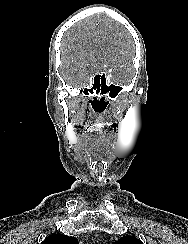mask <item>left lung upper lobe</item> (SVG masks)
Wrapping results in <instances>:
<instances>
[{"mask_svg":"<svg viewBox=\"0 0 188 244\" xmlns=\"http://www.w3.org/2000/svg\"><path fill=\"white\" fill-rule=\"evenodd\" d=\"M113 244H143L141 240L134 236H124Z\"/></svg>","mask_w":188,"mask_h":244,"instance_id":"left-lung-upper-lobe-1","label":"left lung upper lobe"}]
</instances>
